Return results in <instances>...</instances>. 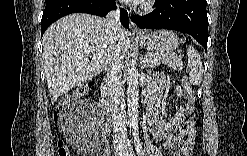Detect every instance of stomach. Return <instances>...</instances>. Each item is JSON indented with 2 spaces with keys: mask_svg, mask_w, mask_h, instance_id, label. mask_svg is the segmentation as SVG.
<instances>
[{
  "mask_svg": "<svg viewBox=\"0 0 247 156\" xmlns=\"http://www.w3.org/2000/svg\"><path fill=\"white\" fill-rule=\"evenodd\" d=\"M138 40L146 49L161 54H170L180 45L179 35L169 30L142 34L138 37Z\"/></svg>",
  "mask_w": 247,
  "mask_h": 156,
  "instance_id": "obj_1",
  "label": "stomach"
}]
</instances>
